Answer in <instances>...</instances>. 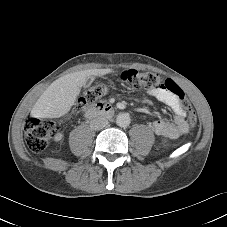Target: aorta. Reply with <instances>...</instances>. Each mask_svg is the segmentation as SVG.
Returning <instances> with one entry per match:
<instances>
[{"mask_svg": "<svg viewBox=\"0 0 227 227\" xmlns=\"http://www.w3.org/2000/svg\"><path fill=\"white\" fill-rule=\"evenodd\" d=\"M131 122L130 116L127 113H121L116 118V124L120 127H127Z\"/></svg>", "mask_w": 227, "mask_h": 227, "instance_id": "762f6f07", "label": "aorta"}]
</instances>
